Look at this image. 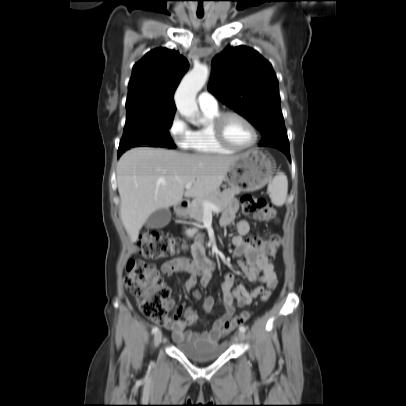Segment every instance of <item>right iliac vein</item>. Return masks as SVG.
I'll return each mask as SVG.
<instances>
[{
    "mask_svg": "<svg viewBox=\"0 0 406 406\" xmlns=\"http://www.w3.org/2000/svg\"><path fill=\"white\" fill-rule=\"evenodd\" d=\"M162 337H163V335H162L161 331H158V332L155 333V335H154V344H155V346H158L161 343Z\"/></svg>",
    "mask_w": 406,
    "mask_h": 406,
    "instance_id": "right-iliac-vein-1",
    "label": "right iliac vein"
}]
</instances>
